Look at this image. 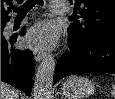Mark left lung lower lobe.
<instances>
[{
    "mask_svg": "<svg viewBox=\"0 0 115 99\" xmlns=\"http://www.w3.org/2000/svg\"><path fill=\"white\" fill-rule=\"evenodd\" d=\"M69 50L57 63L54 82L61 78L82 73L115 74V40L98 39L86 44H76L68 36Z\"/></svg>",
    "mask_w": 115,
    "mask_h": 99,
    "instance_id": "0a47b994",
    "label": "left lung lower lobe"
}]
</instances>
